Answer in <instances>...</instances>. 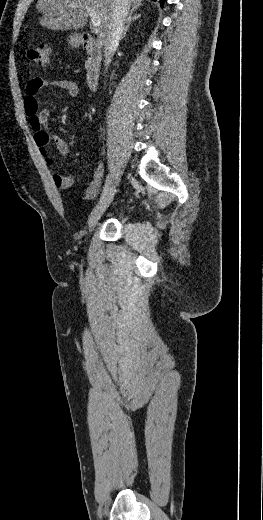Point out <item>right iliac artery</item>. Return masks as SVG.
Wrapping results in <instances>:
<instances>
[{
    "label": "right iliac artery",
    "mask_w": 263,
    "mask_h": 520,
    "mask_svg": "<svg viewBox=\"0 0 263 520\" xmlns=\"http://www.w3.org/2000/svg\"><path fill=\"white\" fill-rule=\"evenodd\" d=\"M110 184H111V178H110V175H108L106 178L104 188H103V192L101 194V199L107 194Z\"/></svg>",
    "instance_id": "obj_1"
}]
</instances>
